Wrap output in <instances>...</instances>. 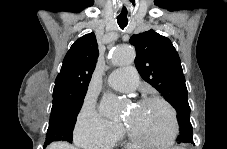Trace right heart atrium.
Masks as SVG:
<instances>
[{
    "mask_svg": "<svg viewBox=\"0 0 227 149\" xmlns=\"http://www.w3.org/2000/svg\"><path fill=\"white\" fill-rule=\"evenodd\" d=\"M75 140L77 144L91 148H109L122 135V126L106 119L85 100L77 117L75 126Z\"/></svg>",
    "mask_w": 227,
    "mask_h": 149,
    "instance_id": "right-heart-atrium-1",
    "label": "right heart atrium"
}]
</instances>
